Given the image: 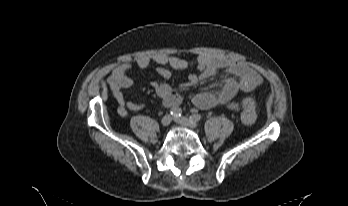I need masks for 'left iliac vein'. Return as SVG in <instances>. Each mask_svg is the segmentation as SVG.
<instances>
[{
	"mask_svg": "<svg viewBox=\"0 0 348 206\" xmlns=\"http://www.w3.org/2000/svg\"><path fill=\"white\" fill-rule=\"evenodd\" d=\"M174 121L184 127H188V128H196L197 127V123L196 122H192L189 118L187 117H175Z\"/></svg>",
	"mask_w": 348,
	"mask_h": 206,
	"instance_id": "left-iliac-vein-1",
	"label": "left iliac vein"
}]
</instances>
